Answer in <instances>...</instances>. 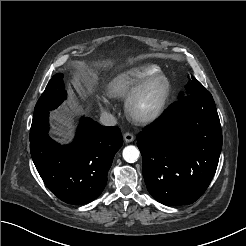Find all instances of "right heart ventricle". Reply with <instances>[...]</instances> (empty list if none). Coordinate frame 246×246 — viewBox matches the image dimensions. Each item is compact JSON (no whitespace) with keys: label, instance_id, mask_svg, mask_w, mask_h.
Returning a JSON list of instances; mask_svg holds the SVG:
<instances>
[{"label":"right heart ventricle","instance_id":"obj_1","mask_svg":"<svg viewBox=\"0 0 246 246\" xmlns=\"http://www.w3.org/2000/svg\"><path fill=\"white\" fill-rule=\"evenodd\" d=\"M160 72V68L153 64L129 68L110 80L107 85V92L113 98H124L144 80Z\"/></svg>","mask_w":246,"mask_h":246}]
</instances>
